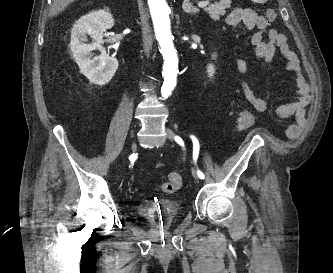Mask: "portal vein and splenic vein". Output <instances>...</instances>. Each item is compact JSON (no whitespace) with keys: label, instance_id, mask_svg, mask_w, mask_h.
Returning <instances> with one entry per match:
<instances>
[{"label":"portal vein and splenic vein","instance_id":"1","mask_svg":"<svg viewBox=\"0 0 333 273\" xmlns=\"http://www.w3.org/2000/svg\"><path fill=\"white\" fill-rule=\"evenodd\" d=\"M208 4H209V0L201 1V2L198 3V6L199 7H206Z\"/></svg>","mask_w":333,"mask_h":273}]
</instances>
